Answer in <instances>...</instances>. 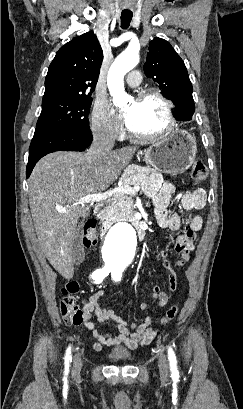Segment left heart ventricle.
Returning a JSON list of instances; mask_svg holds the SVG:
<instances>
[{
  "label": "left heart ventricle",
  "instance_id": "1",
  "mask_svg": "<svg viewBox=\"0 0 243 409\" xmlns=\"http://www.w3.org/2000/svg\"><path fill=\"white\" fill-rule=\"evenodd\" d=\"M128 129L134 134L147 135L162 130L167 123L164 106L156 99L132 100L124 109Z\"/></svg>",
  "mask_w": 243,
  "mask_h": 409
}]
</instances>
